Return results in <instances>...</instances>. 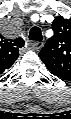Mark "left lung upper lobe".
Instances as JSON below:
<instances>
[{
	"label": "left lung upper lobe",
	"instance_id": "1",
	"mask_svg": "<svg viewBox=\"0 0 71 119\" xmlns=\"http://www.w3.org/2000/svg\"><path fill=\"white\" fill-rule=\"evenodd\" d=\"M52 29L54 35L39 56L52 73L71 77V19L56 17Z\"/></svg>",
	"mask_w": 71,
	"mask_h": 119
}]
</instances>
